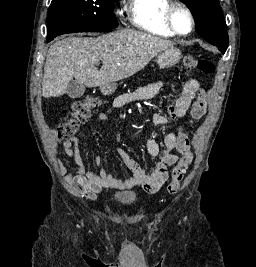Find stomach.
<instances>
[{
  "mask_svg": "<svg viewBox=\"0 0 256 267\" xmlns=\"http://www.w3.org/2000/svg\"><path fill=\"white\" fill-rule=\"evenodd\" d=\"M182 58L181 52L175 46H165L164 50L157 56V64L160 68H171L178 64Z\"/></svg>",
  "mask_w": 256,
  "mask_h": 267,
  "instance_id": "1",
  "label": "stomach"
}]
</instances>
